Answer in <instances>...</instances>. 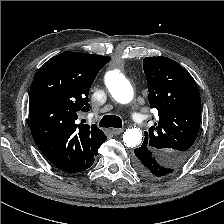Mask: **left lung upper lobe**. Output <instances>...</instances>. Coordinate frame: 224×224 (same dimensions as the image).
Wrapping results in <instances>:
<instances>
[{
  "label": "left lung upper lobe",
  "mask_w": 224,
  "mask_h": 224,
  "mask_svg": "<svg viewBox=\"0 0 224 224\" xmlns=\"http://www.w3.org/2000/svg\"><path fill=\"white\" fill-rule=\"evenodd\" d=\"M143 69L147 78L151 108L158 110L157 123L145 132L146 147L170 172L178 170L188 158L198 135L201 98L192 76L167 57H146Z\"/></svg>",
  "instance_id": "left-lung-upper-lobe-1"
}]
</instances>
